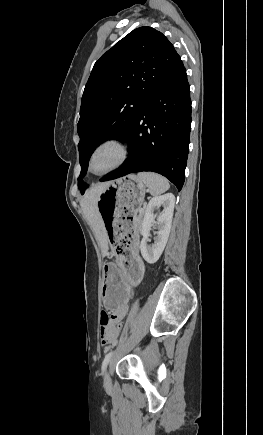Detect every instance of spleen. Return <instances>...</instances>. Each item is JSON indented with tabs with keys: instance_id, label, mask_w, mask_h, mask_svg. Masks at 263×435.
<instances>
[{
	"instance_id": "spleen-1",
	"label": "spleen",
	"mask_w": 263,
	"mask_h": 435,
	"mask_svg": "<svg viewBox=\"0 0 263 435\" xmlns=\"http://www.w3.org/2000/svg\"><path fill=\"white\" fill-rule=\"evenodd\" d=\"M137 177L148 187L152 195H159L170 188L168 180L159 174L153 172H141L138 173Z\"/></svg>"
}]
</instances>
